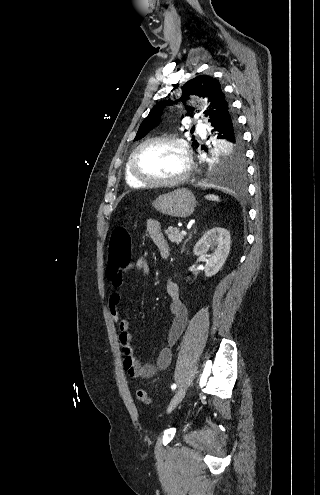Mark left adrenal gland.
<instances>
[{
  "instance_id": "1",
  "label": "left adrenal gland",
  "mask_w": 320,
  "mask_h": 495,
  "mask_svg": "<svg viewBox=\"0 0 320 495\" xmlns=\"http://www.w3.org/2000/svg\"><path fill=\"white\" fill-rule=\"evenodd\" d=\"M190 238H191V235L184 241V244H183V247H182V252H183V250L185 248L186 243L189 241Z\"/></svg>"
}]
</instances>
